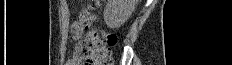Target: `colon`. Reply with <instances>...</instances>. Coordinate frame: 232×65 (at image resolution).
Instances as JSON below:
<instances>
[{"label": "colon", "instance_id": "1", "mask_svg": "<svg viewBox=\"0 0 232 65\" xmlns=\"http://www.w3.org/2000/svg\"><path fill=\"white\" fill-rule=\"evenodd\" d=\"M81 16L86 19L87 35L85 41L77 46L79 54L85 59L86 65H112L110 47L115 45L117 37L108 35L100 38L97 32L92 28V22L95 15L91 10H86Z\"/></svg>", "mask_w": 232, "mask_h": 65}]
</instances>
